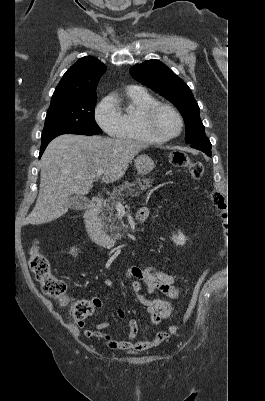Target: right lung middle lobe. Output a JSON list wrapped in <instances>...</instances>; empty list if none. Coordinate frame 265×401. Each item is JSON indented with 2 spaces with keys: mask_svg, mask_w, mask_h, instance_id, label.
I'll list each match as a JSON object with an SVG mask.
<instances>
[{
  "mask_svg": "<svg viewBox=\"0 0 265 401\" xmlns=\"http://www.w3.org/2000/svg\"><path fill=\"white\" fill-rule=\"evenodd\" d=\"M97 95L79 97L50 106L42 132V143L62 134L95 135L102 130L95 122L94 107Z\"/></svg>",
  "mask_w": 265,
  "mask_h": 401,
  "instance_id": "right-lung-middle-lobe-1",
  "label": "right lung middle lobe"
}]
</instances>
